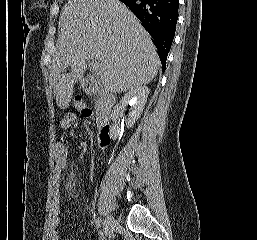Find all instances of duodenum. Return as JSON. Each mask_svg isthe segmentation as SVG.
Instances as JSON below:
<instances>
[{
  "label": "duodenum",
  "instance_id": "duodenum-1",
  "mask_svg": "<svg viewBox=\"0 0 257 240\" xmlns=\"http://www.w3.org/2000/svg\"><path fill=\"white\" fill-rule=\"evenodd\" d=\"M83 87L87 93L100 96L106 108V113L101 121L97 138L98 145L101 148H105L111 142L112 124L110 122V112L115 105V98L110 94L99 91L90 81L86 79L83 80Z\"/></svg>",
  "mask_w": 257,
  "mask_h": 240
}]
</instances>
